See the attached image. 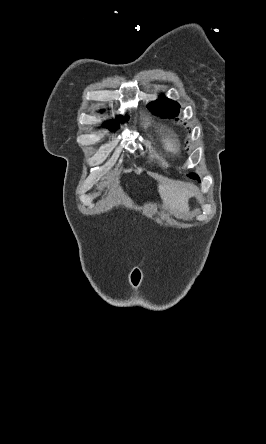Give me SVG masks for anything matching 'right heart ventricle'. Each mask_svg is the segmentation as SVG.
Returning a JSON list of instances; mask_svg holds the SVG:
<instances>
[{
  "mask_svg": "<svg viewBox=\"0 0 266 444\" xmlns=\"http://www.w3.org/2000/svg\"><path fill=\"white\" fill-rule=\"evenodd\" d=\"M160 142L165 146V139L163 137L160 138Z\"/></svg>",
  "mask_w": 266,
  "mask_h": 444,
  "instance_id": "obj_1",
  "label": "right heart ventricle"
}]
</instances>
